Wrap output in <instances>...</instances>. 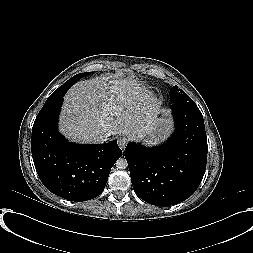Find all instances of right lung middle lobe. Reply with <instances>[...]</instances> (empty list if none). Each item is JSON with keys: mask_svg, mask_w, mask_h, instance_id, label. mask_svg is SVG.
Here are the masks:
<instances>
[{"mask_svg": "<svg viewBox=\"0 0 253 253\" xmlns=\"http://www.w3.org/2000/svg\"><path fill=\"white\" fill-rule=\"evenodd\" d=\"M92 72H86V73H80L77 74L75 76H73L71 79H69L68 81H66L61 87H59L56 91H54L49 98L46 100V102H50V101H54L58 98V96L60 95L59 93L63 90V89H69L76 81H78L80 78L87 76L89 74H91Z\"/></svg>", "mask_w": 253, "mask_h": 253, "instance_id": "right-lung-middle-lobe-1", "label": "right lung middle lobe"}]
</instances>
